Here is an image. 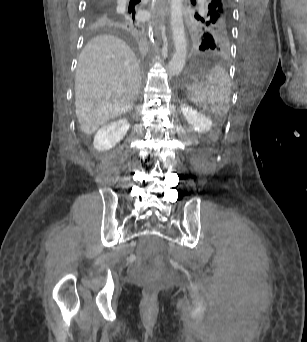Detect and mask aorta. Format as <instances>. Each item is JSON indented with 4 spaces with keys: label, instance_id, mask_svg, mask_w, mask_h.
Returning <instances> with one entry per match:
<instances>
[{
    "label": "aorta",
    "instance_id": "aorta-1",
    "mask_svg": "<svg viewBox=\"0 0 307 342\" xmlns=\"http://www.w3.org/2000/svg\"><path fill=\"white\" fill-rule=\"evenodd\" d=\"M170 10V24L175 52L168 68L171 74H177L184 68L187 58V44L183 24V0H171Z\"/></svg>",
    "mask_w": 307,
    "mask_h": 342
}]
</instances>
